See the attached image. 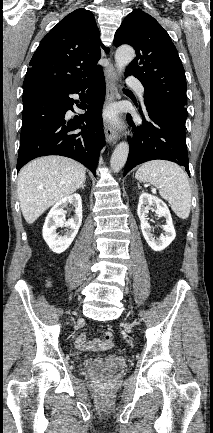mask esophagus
I'll return each mask as SVG.
<instances>
[{"mask_svg":"<svg viewBox=\"0 0 213 433\" xmlns=\"http://www.w3.org/2000/svg\"><path fill=\"white\" fill-rule=\"evenodd\" d=\"M117 71L112 62H110L106 75V106L117 98L116 88ZM104 132L108 143L115 144L119 139V134L114 123L106 122Z\"/></svg>","mask_w":213,"mask_h":433,"instance_id":"34e87169","label":"esophagus"}]
</instances>
